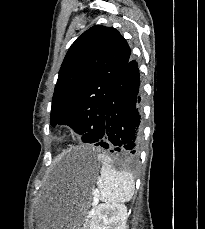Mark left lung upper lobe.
I'll return each mask as SVG.
<instances>
[{
  "label": "left lung upper lobe",
  "instance_id": "obj_1",
  "mask_svg": "<svg viewBox=\"0 0 205 229\" xmlns=\"http://www.w3.org/2000/svg\"><path fill=\"white\" fill-rule=\"evenodd\" d=\"M130 56L126 40L112 27L96 25L81 34L59 71L51 125H69L89 142L87 133L102 123L109 92Z\"/></svg>",
  "mask_w": 205,
  "mask_h": 229
}]
</instances>
